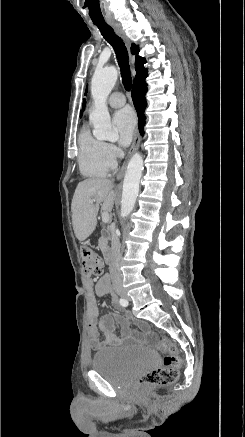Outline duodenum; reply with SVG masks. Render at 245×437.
Returning <instances> with one entry per match:
<instances>
[{"label":"duodenum","mask_w":245,"mask_h":437,"mask_svg":"<svg viewBox=\"0 0 245 437\" xmlns=\"http://www.w3.org/2000/svg\"><path fill=\"white\" fill-rule=\"evenodd\" d=\"M107 237H108V233H107L106 231H104V232L102 233V238H103V240H105ZM102 252H103V257H104L105 261H106V262H109V261H110V257H111V254H110L109 249H108L106 246H104L103 249H102ZM104 277L107 278V281H110L108 275H105Z\"/></svg>","instance_id":"1"}]
</instances>
